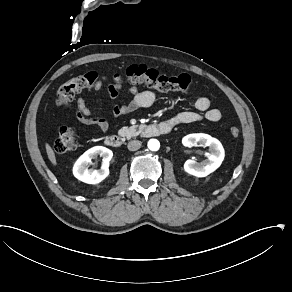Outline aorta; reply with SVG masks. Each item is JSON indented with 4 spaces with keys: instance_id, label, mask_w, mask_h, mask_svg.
Returning <instances> with one entry per match:
<instances>
[{
    "instance_id": "1",
    "label": "aorta",
    "mask_w": 292,
    "mask_h": 292,
    "mask_svg": "<svg viewBox=\"0 0 292 292\" xmlns=\"http://www.w3.org/2000/svg\"><path fill=\"white\" fill-rule=\"evenodd\" d=\"M148 148L151 151H157L160 148V143L157 139H150L148 141Z\"/></svg>"
}]
</instances>
